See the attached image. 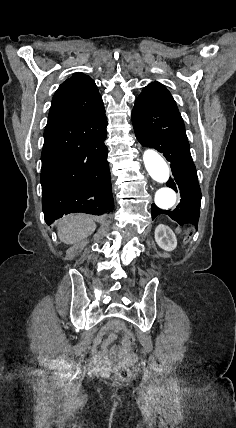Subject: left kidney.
I'll return each instance as SVG.
<instances>
[{"mask_svg": "<svg viewBox=\"0 0 236 428\" xmlns=\"http://www.w3.org/2000/svg\"><path fill=\"white\" fill-rule=\"evenodd\" d=\"M155 242H157L159 248L167 250V252H172L177 246L175 234L168 226H163V224H159L155 230Z\"/></svg>", "mask_w": 236, "mask_h": 428, "instance_id": "1", "label": "left kidney"}]
</instances>
